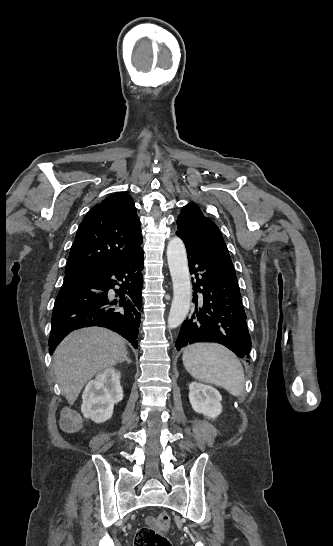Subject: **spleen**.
Returning <instances> with one entry per match:
<instances>
[{
  "label": "spleen",
  "instance_id": "spleen-1",
  "mask_svg": "<svg viewBox=\"0 0 333 546\" xmlns=\"http://www.w3.org/2000/svg\"><path fill=\"white\" fill-rule=\"evenodd\" d=\"M183 364L196 380L225 388L233 396L244 390V370L238 358L222 345L195 343L184 348Z\"/></svg>",
  "mask_w": 333,
  "mask_h": 546
}]
</instances>
